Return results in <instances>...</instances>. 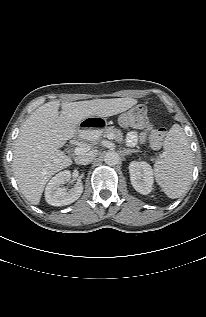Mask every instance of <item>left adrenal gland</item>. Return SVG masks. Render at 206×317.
<instances>
[{"mask_svg":"<svg viewBox=\"0 0 206 317\" xmlns=\"http://www.w3.org/2000/svg\"><path fill=\"white\" fill-rule=\"evenodd\" d=\"M133 152H137L136 150H131V149H125V148H123V153H124V155H128V154H131V153H133Z\"/></svg>","mask_w":206,"mask_h":317,"instance_id":"1","label":"left adrenal gland"}]
</instances>
